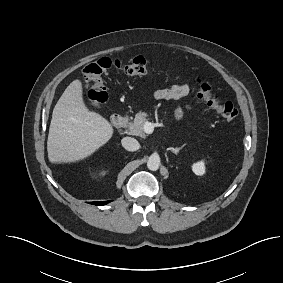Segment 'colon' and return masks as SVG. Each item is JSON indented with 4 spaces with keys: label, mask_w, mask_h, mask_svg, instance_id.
Returning <instances> with one entry per match:
<instances>
[{
    "label": "colon",
    "mask_w": 283,
    "mask_h": 283,
    "mask_svg": "<svg viewBox=\"0 0 283 283\" xmlns=\"http://www.w3.org/2000/svg\"><path fill=\"white\" fill-rule=\"evenodd\" d=\"M109 69H116L130 76H142L150 70V60L145 57H135L127 62L102 57L88 64L83 71L84 80L89 86L87 102L93 107H100L108 98L107 89L103 81V74ZM195 89L198 97L216 111L227 121L237 118L238 110L230 101H224L215 94L211 87L200 80L195 81Z\"/></svg>",
    "instance_id": "1"
}]
</instances>
